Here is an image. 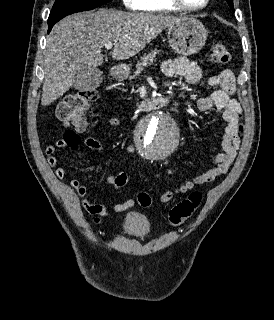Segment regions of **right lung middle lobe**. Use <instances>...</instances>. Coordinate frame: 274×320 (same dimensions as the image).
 I'll use <instances>...</instances> for the list:
<instances>
[{"label": "right lung middle lobe", "mask_w": 274, "mask_h": 320, "mask_svg": "<svg viewBox=\"0 0 274 320\" xmlns=\"http://www.w3.org/2000/svg\"><path fill=\"white\" fill-rule=\"evenodd\" d=\"M112 0H55L48 23H56L73 13L95 9Z\"/></svg>", "instance_id": "dd1d6c3e"}]
</instances>
